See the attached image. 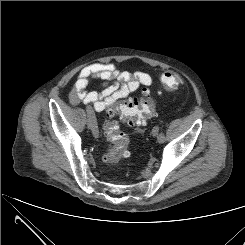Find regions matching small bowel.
Listing matches in <instances>:
<instances>
[{
  "label": "small bowel",
  "mask_w": 245,
  "mask_h": 245,
  "mask_svg": "<svg viewBox=\"0 0 245 245\" xmlns=\"http://www.w3.org/2000/svg\"><path fill=\"white\" fill-rule=\"evenodd\" d=\"M92 79L103 82L101 91L87 89ZM112 80L114 82L111 83ZM152 83V76L146 72L130 73L119 70L113 63L98 62L80 71L69 93V99L74 105L91 104L96 111H103L137 91L141 86H150Z\"/></svg>",
  "instance_id": "obj_1"
}]
</instances>
